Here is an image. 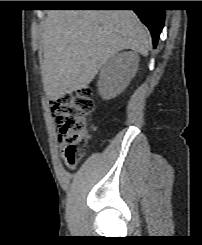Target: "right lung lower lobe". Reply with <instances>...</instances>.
Here are the masks:
<instances>
[{
  "mask_svg": "<svg viewBox=\"0 0 202 245\" xmlns=\"http://www.w3.org/2000/svg\"><path fill=\"white\" fill-rule=\"evenodd\" d=\"M150 1H135L133 11L138 15L151 32L153 46L156 48L160 33L164 26L165 10L150 7ZM81 6H109L101 3H83Z\"/></svg>",
  "mask_w": 202,
  "mask_h": 245,
  "instance_id": "1",
  "label": "right lung lower lobe"
}]
</instances>
